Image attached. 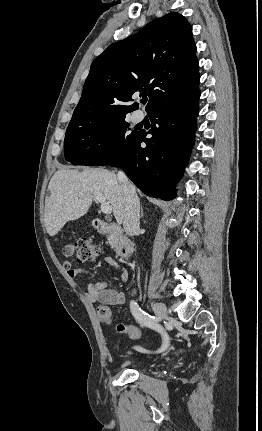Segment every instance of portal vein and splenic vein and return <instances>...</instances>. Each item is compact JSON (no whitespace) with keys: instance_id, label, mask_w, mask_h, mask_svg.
<instances>
[{"instance_id":"18ae733b","label":"portal vein and splenic vein","mask_w":262,"mask_h":431,"mask_svg":"<svg viewBox=\"0 0 262 431\" xmlns=\"http://www.w3.org/2000/svg\"><path fill=\"white\" fill-rule=\"evenodd\" d=\"M94 197L99 203H101V211L104 214H111L112 207L110 203L106 201L105 197L101 193H95Z\"/></svg>"}]
</instances>
